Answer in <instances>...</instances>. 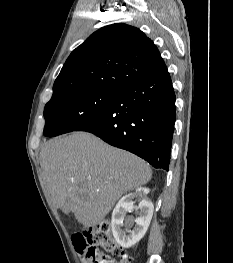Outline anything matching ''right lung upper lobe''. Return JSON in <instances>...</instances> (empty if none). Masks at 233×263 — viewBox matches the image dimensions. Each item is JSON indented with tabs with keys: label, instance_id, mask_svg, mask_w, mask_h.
I'll return each instance as SVG.
<instances>
[{
	"label": "right lung upper lobe",
	"instance_id": "right-lung-upper-lobe-1",
	"mask_svg": "<svg viewBox=\"0 0 233 263\" xmlns=\"http://www.w3.org/2000/svg\"><path fill=\"white\" fill-rule=\"evenodd\" d=\"M166 71L158 48L142 31L113 24L94 32L70 54L53 96L83 89L119 91Z\"/></svg>",
	"mask_w": 233,
	"mask_h": 263
}]
</instances>
